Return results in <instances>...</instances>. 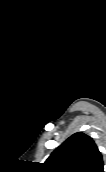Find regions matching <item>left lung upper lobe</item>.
Returning a JSON list of instances; mask_svg holds the SVG:
<instances>
[{"label":"left lung upper lobe","mask_w":106,"mask_h":172,"mask_svg":"<svg viewBox=\"0 0 106 172\" xmlns=\"http://www.w3.org/2000/svg\"><path fill=\"white\" fill-rule=\"evenodd\" d=\"M49 172H104V164L93 139L78 132L70 136L45 161Z\"/></svg>","instance_id":"5c2ea615"}]
</instances>
